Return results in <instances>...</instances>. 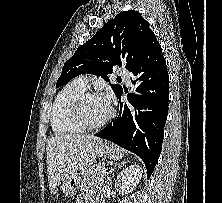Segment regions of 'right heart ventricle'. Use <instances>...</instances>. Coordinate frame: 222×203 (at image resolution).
I'll return each mask as SVG.
<instances>
[{"mask_svg":"<svg viewBox=\"0 0 222 203\" xmlns=\"http://www.w3.org/2000/svg\"><path fill=\"white\" fill-rule=\"evenodd\" d=\"M83 92L85 88L76 81L70 82L59 92L51 112V125L55 134L69 136L82 131L72 118L71 108L75 99Z\"/></svg>","mask_w":222,"mask_h":203,"instance_id":"right-heart-ventricle-1","label":"right heart ventricle"}]
</instances>
